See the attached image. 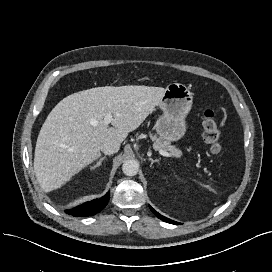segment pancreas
Segmentation results:
<instances>
[{
  "label": "pancreas",
  "mask_w": 272,
  "mask_h": 272,
  "mask_svg": "<svg viewBox=\"0 0 272 272\" xmlns=\"http://www.w3.org/2000/svg\"><path fill=\"white\" fill-rule=\"evenodd\" d=\"M150 138L152 139V141H154L153 148L156 151L165 150L174 156H180L182 154L181 150L171 145L168 141H163L161 138H158L156 135H153L151 133H150Z\"/></svg>",
  "instance_id": "obj_1"
}]
</instances>
